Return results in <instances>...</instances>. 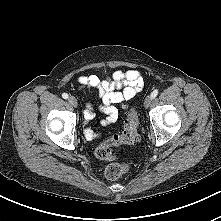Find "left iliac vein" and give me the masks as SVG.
<instances>
[{"mask_svg":"<svg viewBox=\"0 0 221 221\" xmlns=\"http://www.w3.org/2000/svg\"><path fill=\"white\" fill-rule=\"evenodd\" d=\"M151 102H152V97L151 96H147L145 98V100H144V107L148 108L150 106Z\"/></svg>","mask_w":221,"mask_h":221,"instance_id":"obj_1","label":"left iliac vein"}]
</instances>
